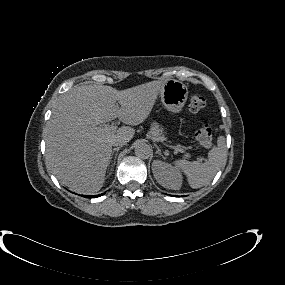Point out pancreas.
<instances>
[{"label":"pancreas","mask_w":285,"mask_h":285,"mask_svg":"<svg viewBox=\"0 0 285 285\" xmlns=\"http://www.w3.org/2000/svg\"><path fill=\"white\" fill-rule=\"evenodd\" d=\"M149 133L157 141L163 142L166 139L165 136L163 135L162 128L157 123H153ZM186 156L188 157V155Z\"/></svg>","instance_id":"pancreas-1"}]
</instances>
